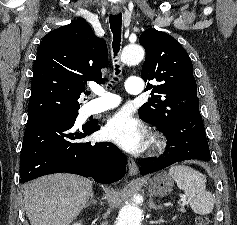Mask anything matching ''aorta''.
<instances>
[{"mask_svg": "<svg viewBox=\"0 0 237 225\" xmlns=\"http://www.w3.org/2000/svg\"><path fill=\"white\" fill-rule=\"evenodd\" d=\"M144 58V49L139 45H128L124 47L121 61L127 65L140 63ZM141 199L137 196L131 203L124 205L118 214L115 225H140L142 221Z\"/></svg>", "mask_w": 237, "mask_h": 225, "instance_id": "762f6f07", "label": "aorta"}]
</instances>
